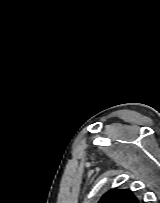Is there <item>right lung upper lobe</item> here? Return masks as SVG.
Listing matches in <instances>:
<instances>
[{"label": "right lung upper lobe", "mask_w": 160, "mask_h": 203, "mask_svg": "<svg viewBox=\"0 0 160 203\" xmlns=\"http://www.w3.org/2000/svg\"><path fill=\"white\" fill-rule=\"evenodd\" d=\"M99 203H139L137 198L127 189L112 190L105 194Z\"/></svg>", "instance_id": "obj_1"}]
</instances>
